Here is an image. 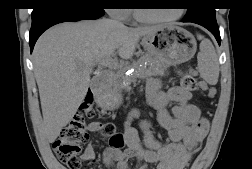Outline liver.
Here are the masks:
<instances>
[{
    "mask_svg": "<svg viewBox=\"0 0 252 169\" xmlns=\"http://www.w3.org/2000/svg\"><path fill=\"white\" fill-rule=\"evenodd\" d=\"M161 26H118L109 19L56 25L43 33L33 50L45 133L54 142L76 114L98 61L118 54L132 58L142 36Z\"/></svg>",
    "mask_w": 252,
    "mask_h": 169,
    "instance_id": "obj_1",
    "label": "liver"
}]
</instances>
